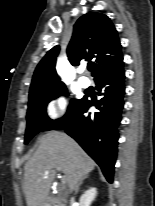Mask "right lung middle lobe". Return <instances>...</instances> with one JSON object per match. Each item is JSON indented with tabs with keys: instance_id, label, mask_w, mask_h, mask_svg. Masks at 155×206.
<instances>
[{
	"instance_id": "1",
	"label": "right lung middle lobe",
	"mask_w": 155,
	"mask_h": 206,
	"mask_svg": "<svg viewBox=\"0 0 155 206\" xmlns=\"http://www.w3.org/2000/svg\"><path fill=\"white\" fill-rule=\"evenodd\" d=\"M66 93L67 89L65 85H60L29 96L26 116L27 127L24 141L25 144H27L37 133L52 130L56 124L70 115L80 100H72L67 113L60 119L51 120L46 113L47 104L51 100L59 97L60 95H65Z\"/></svg>"
}]
</instances>
